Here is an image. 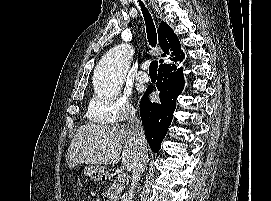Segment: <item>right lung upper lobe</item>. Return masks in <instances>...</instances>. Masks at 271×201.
<instances>
[{"instance_id": "1", "label": "right lung upper lobe", "mask_w": 271, "mask_h": 201, "mask_svg": "<svg viewBox=\"0 0 271 201\" xmlns=\"http://www.w3.org/2000/svg\"><path fill=\"white\" fill-rule=\"evenodd\" d=\"M158 39L160 47L165 52V54L162 55L165 59L160 60L161 63H171L183 54L176 34L165 22H161L159 25ZM164 64H161L160 66Z\"/></svg>"}]
</instances>
